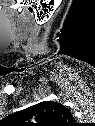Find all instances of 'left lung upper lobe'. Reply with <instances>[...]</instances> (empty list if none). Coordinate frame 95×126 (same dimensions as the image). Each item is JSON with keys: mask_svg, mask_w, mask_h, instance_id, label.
Listing matches in <instances>:
<instances>
[{"mask_svg": "<svg viewBox=\"0 0 95 126\" xmlns=\"http://www.w3.org/2000/svg\"><path fill=\"white\" fill-rule=\"evenodd\" d=\"M10 123L17 126H71L73 117L63 104L43 101L11 114Z\"/></svg>", "mask_w": 95, "mask_h": 126, "instance_id": "left-lung-upper-lobe-1", "label": "left lung upper lobe"}]
</instances>
